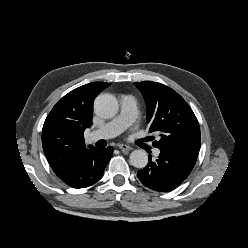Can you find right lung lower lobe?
<instances>
[{
    "label": "right lung lower lobe",
    "mask_w": 248,
    "mask_h": 248,
    "mask_svg": "<svg viewBox=\"0 0 248 248\" xmlns=\"http://www.w3.org/2000/svg\"><path fill=\"white\" fill-rule=\"evenodd\" d=\"M113 153L112 147L97 149L91 147L58 177L72 188H85L93 185L103 176V171Z\"/></svg>",
    "instance_id": "obj_1"
}]
</instances>
